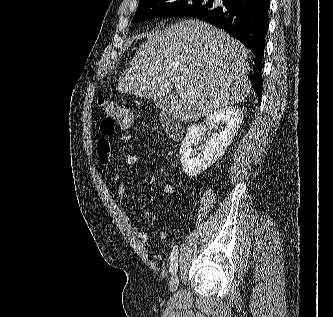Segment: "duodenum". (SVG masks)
<instances>
[{
	"label": "duodenum",
	"mask_w": 333,
	"mask_h": 317,
	"mask_svg": "<svg viewBox=\"0 0 333 317\" xmlns=\"http://www.w3.org/2000/svg\"><path fill=\"white\" fill-rule=\"evenodd\" d=\"M160 121L163 129L173 140H179L183 136V127L178 118L169 110L161 113Z\"/></svg>",
	"instance_id": "1"
}]
</instances>
